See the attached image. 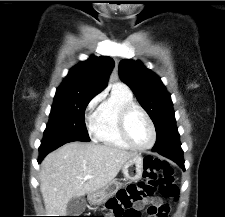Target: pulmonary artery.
Returning a JSON list of instances; mask_svg holds the SVG:
<instances>
[{
    "mask_svg": "<svg viewBox=\"0 0 225 217\" xmlns=\"http://www.w3.org/2000/svg\"><path fill=\"white\" fill-rule=\"evenodd\" d=\"M116 85H120V86H123V87H127L125 84L123 83H117ZM128 88V87H127Z\"/></svg>",
    "mask_w": 225,
    "mask_h": 217,
    "instance_id": "pulmonary-artery-1",
    "label": "pulmonary artery"
}]
</instances>
